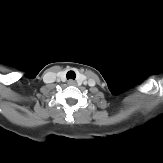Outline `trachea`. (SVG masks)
I'll return each mask as SVG.
<instances>
[{"instance_id":"1","label":"trachea","mask_w":163,"mask_h":163,"mask_svg":"<svg viewBox=\"0 0 163 163\" xmlns=\"http://www.w3.org/2000/svg\"><path fill=\"white\" fill-rule=\"evenodd\" d=\"M67 79H75L76 78V74L74 71H68L66 74Z\"/></svg>"}]
</instances>
